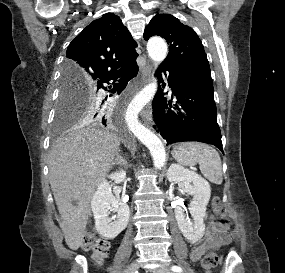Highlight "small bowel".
Instances as JSON below:
<instances>
[{
  "mask_svg": "<svg viewBox=\"0 0 285 273\" xmlns=\"http://www.w3.org/2000/svg\"><path fill=\"white\" fill-rule=\"evenodd\" d=\"M230 241L227 228L214 220L213 217H210L205 239L192 250L191 257L197 260L207 248H218L223 245H228Z\"/></svg>",
  "mask_w": 285,
  "mask_h": 273,
  "instance_id": "small-bowel-1",
  "label": "small bowel"
}]
</instances>
